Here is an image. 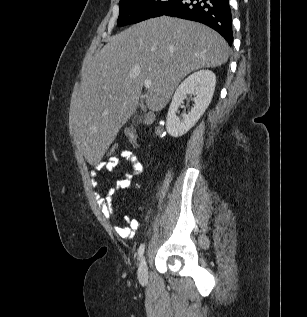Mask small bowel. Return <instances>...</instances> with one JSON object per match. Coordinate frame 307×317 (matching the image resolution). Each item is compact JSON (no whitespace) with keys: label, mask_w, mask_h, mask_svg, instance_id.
<instances>
[{"label":"small bowel","mask_w":307,"mask_h":317,"mask_svg":"<svg viewBox=\"0 0 307 317\" xmlns=\"http://www.w3.org/2000/svg\"><path fill=\"white\" fill-rule=\"evenodd\" d=\"M120 157L124 159L130 165L131 172L126 173L123 179L118 180L116 182L115 187L109 189L105 196H101V195L98 196V202H99L102 214L107 219H111L114 215L113 209H112V201L117 191L121 189L129 188L131 186L132 175L141 173L143 169V165L139 157L133 151L123 150L120 154ZM119 163H120V158L115 157V158L97 163L95 166V169L97 171L112 172L118 167ZM95 175H96V172H95ZM124 219L126 223L128 224L127 226L114 225L113 229L116 232V234L119 235L121 238L128 240L133 238L135 231L139 227V222L130 216H125Z\"/></svg>","instance_id":"small-bowel-1"}]
</instances>
